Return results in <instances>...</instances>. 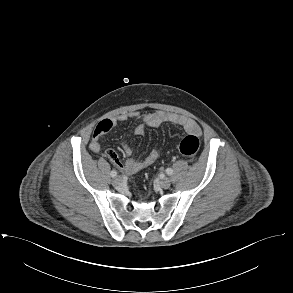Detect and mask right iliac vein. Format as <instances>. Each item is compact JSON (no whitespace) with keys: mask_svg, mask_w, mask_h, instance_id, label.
<instances>
[{"mask_svg":"<svg viewBox=\"0 0 293 293\" xmlns=\"http://www.w3.org/2000/svg\"><path fill=\"white\" fill-rule=\"evenodd\" d=\"M122 183V178L121 177H116L113 179L112 184L114 186H119Z\"/></svg>","mask_w":293,"mask_h":293,"instance_id":"right-iliac-vein-1","label":"right iliac vein"}]
</instances>
